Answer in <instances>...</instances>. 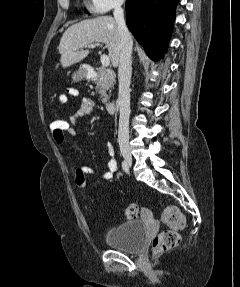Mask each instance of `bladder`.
<instances>
[{
	"label": "bladder",
	"mask_w": 240,
	"mask_h": 287,
	"mask_svg": "<svg viewBox=\"0 0 240 287\" xmlns=\"http://www.w3.org/2000/svg\"><path fill=\"white\" fill-rule=\"evenodd\" d=\"M147 226L143 221H128L109 229L105 234L108 246L127 253H138L146 244Z\"/></svg>",
	"instance_id": "1"
}]
</instances>
